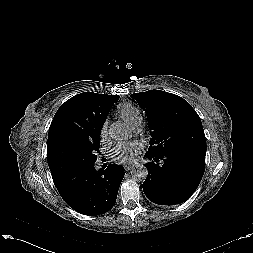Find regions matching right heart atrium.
<instances>
[{
  "label": "right heart atrium",
  "instance_id": "d8ad5b80",
  "mask_svg": "<svg viewBox=\"0 0 253 253\" xmlns=\"http://www.w3.org/2000/svg\"><path fill=\"white\" fill-rule=\"evenodd\" d=\"M107 135V122H104L100 129V136L101 138H105Z\"/></svg>",
  "mask_w": 253,
  "mask_h": 253
}]
</instances>
